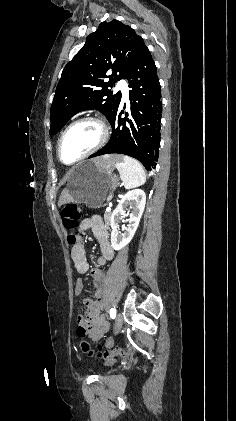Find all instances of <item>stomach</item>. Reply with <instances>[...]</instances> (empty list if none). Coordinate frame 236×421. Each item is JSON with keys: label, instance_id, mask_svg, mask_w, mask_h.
<instances>
[{"label": "stomach", "instance_id": "obj_1", "mask_svg": "<svg viewBox=\"0 0 236 421\" xmlns=\"http://www.w3.org/2000/svg\"><path fill=\"white\" fill-rule=\"evenodd\" d=\"M117 184L113 166H102L94 160H81L69 172L68 190L73 202H85L91 208L102 206Z\"/></svg>", "mask_w": 236, "mask_h": 421}]
</instances>
